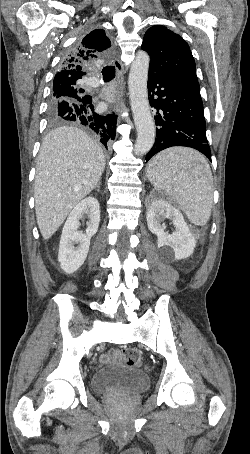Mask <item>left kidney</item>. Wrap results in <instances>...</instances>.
Segmentation results:
<instances>
[{
    "mask_svg": "<svg viewBox=\"0 0 250 454\" xmlns=\"http://www.w3.org/2000/svg\"><path fill=\"white\" fill-rule=\"evenodd\" d=\"M146 219L149 230L158 238L157 246L164 256L181 260L193 254L196 239L178 208L162 198L154 199L149 205ZM165 219L170 220L175 227L172 234L165 232Z\"/></svg>",
    "mask_w": 250,
    "mask_h": 454,
    "instance_id": "5707ae66",
    "label": "left kidney"
}]
</instances>
